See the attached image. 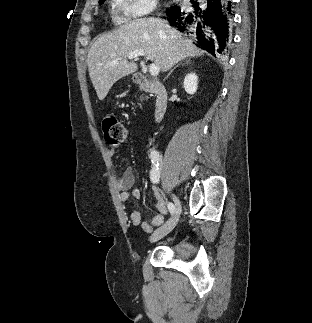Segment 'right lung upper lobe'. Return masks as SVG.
Listing matches in <instances>:
<instances>
[{"label": "right lung upper lobe", "mask_w": 312, "mask_h": 323, "mask_svg": "<svg viewBox=\"0 0 312 323\" xmlns=\"http://www.w3.org/2000/svg\"><path fill=\"white\" fill-rule=\"evenodd\" d=\"M105 0H99V4H102Z\"/></svg>", "instance_id": "obj_1"}]
</instances>
